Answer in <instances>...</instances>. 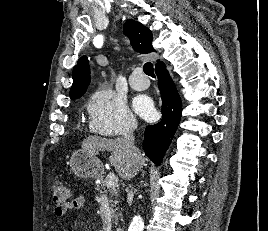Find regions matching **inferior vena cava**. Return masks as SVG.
<instances>
[{
	"label": "inferior vena cava",
	"instance_id": "1",
	"mask_svg": "<svg viewBox=\"0 0 268 231\" xmlns=\"http://www.w3.org/2000/svg\"><path fill=\"white\" fill-rule=\"evenodd\" d=\"M137 127L136 124L131 126L124 134V142L126 144L127 149L130 151L132 160L134 163L138 162L140 159V152L135 146V138L133 136V131Z\"/></svg>",
	"mask_w": 268,
	"mask_h": 231
}]
</instances>
